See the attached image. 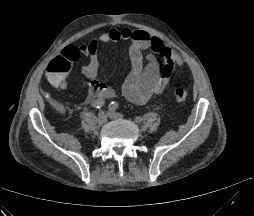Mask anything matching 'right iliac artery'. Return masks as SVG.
Instances as JSON below:
<instances>
[{"instance_id": "1", "label": "right iliac artery", "mask_w": 254, "mask_h": 216, "mask_svg": "<svg viewBox=\"0 0 254 216\" xmlns=\"http://www.w3.org/2000/svg\"><path fill=\"white\" fill-rule=\"evenodd\" d=\"M105 104L103 99H98L92 102L91 106L95 109L101 108Z\"/></svg>"}]
</instances>
